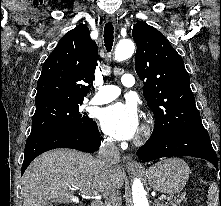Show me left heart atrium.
<instances>
[{"instance_id":"left-heart-atrium-1","label":"left heart atrium","mask_w":221,"mask_h":206,"mask_svg":"<svg viewBox=\"0 0 221 206\" xmlns=\"http://www.w3.org/2000/svg\"><path fill=\"white\" fill-rule=\"evenodd\" d=\"M99 119L103 130L116 139H131L139 132V114L132 103L109 105L101 111Z\"/></svg>"}]
</instances>
